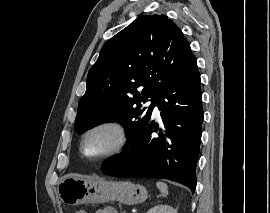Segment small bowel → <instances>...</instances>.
<instances>
[{"label":"small bowel","mask_w":270,"mask_h":213,"mask_svg":"<svg viewBox=\"0 0 270 213\" xmlns=\"http://www.w3.org/2000/svg\"><path fill=\"white\" fill-rule=\"evenodd\" d=\"M96 213H117L116 209L113 207H105L98 210Z\"/></svg>","instance_id":"1"}]
</instances>
